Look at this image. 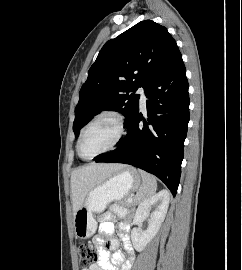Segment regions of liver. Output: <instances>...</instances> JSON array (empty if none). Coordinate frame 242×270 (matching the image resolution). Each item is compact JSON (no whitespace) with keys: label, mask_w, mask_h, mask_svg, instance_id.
I'll list each match as a JSON object with an SVG mask.
<instances>
[{"label":"liver","mask_w":242,"mask_h":270,"mask_svg":"<svg viewBox=\"0 0 242 270\" xmlns=\"http://www.w3.org/2000/svg\"><path fill=\"white\" fill-rule=\"evenodd\" d=\"M126 167L122 164H96L76 169L71 175V193L74 215L83 206L90 190L103 183L116 171Z\"/></svg>","instance_id":"6515ba94"}]
</instances>
